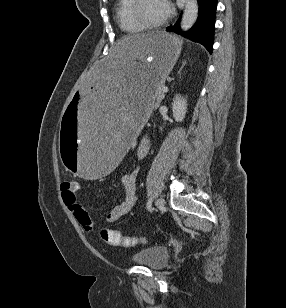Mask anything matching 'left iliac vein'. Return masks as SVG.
I'll return each mask as SVG.
<instances>
[{
  "mask_svg": "<svg viewBox=\"0 0 286 308\" xmlns=\"http://www.w3.org/2000/svg\"><path fill=\"white\" fill-rule=\"evenodd\" d=\"M164 205H165V201H164L163 198H158V199L156 200V206H157V207L163 208Z\"/></svg>",
  "mask_w": 286,
  "mask_h": 308,
  "instance_id": "left-iliac-vein-1",
  "label": "left iliac vein"
}]
</instances>
